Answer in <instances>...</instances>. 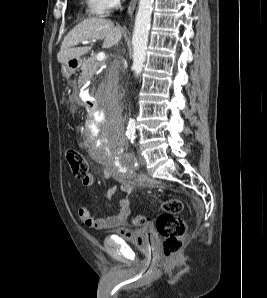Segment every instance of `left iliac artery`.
<instances>
[{"instance_id":"obj_1","label":"left iliac artery","mask_w":267,"mask_h":298,"mask_svg":"<svg viewBox=\"0 0 267 298\" xmlns=\"http://www.w3.org/2000/svg\"><path fill=\"white\" fill-rule=\"evenodd\" d=\"M134 139H135V137H132V138H131V143H132V144H134Z\"/></svg>"}]
</instances>
